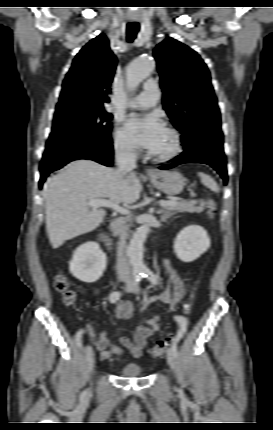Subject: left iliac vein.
<instances>
[{
    "label": "left iliac vein",
    "mask_w": 273,
    "mask_h": 430,
    "mask_svg": "<svg viewBox=\"0 0 273 430\" xmlns=\"http://www.w3.org/2000/svg\"><path fill=\"white\" fill-rule=\"evenodd\" d=\"M133 285H134L133 282L129 281L127 283L126 288L132 293H136V294L139 293L140 292L139 287L138 286L134 287ZM167 362H168L169 366L171 367V369L175 368L176 357H175V354L173 353L171 348L167 350Z\"/></svg>",
    "instance_id": "4c4485c4"
}]
</instances>
